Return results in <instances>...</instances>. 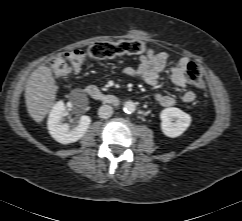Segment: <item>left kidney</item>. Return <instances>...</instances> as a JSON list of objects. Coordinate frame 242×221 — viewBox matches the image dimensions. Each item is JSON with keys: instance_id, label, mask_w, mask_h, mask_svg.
Listing matches in <instances>:
<instances>
[{"instance_id": "1", "label": "left kidney", "mask_w": 242, "mask_h": 221, "mask_svg": "<svg viewBox=\"0 0 242 221\" xmlns=\"http://www.w3.org/2000/svg\"><path fill=\"white\" fill-rule=\"evenodd\" d=\"M160 119L162 132L171 138L183 134L191 123V116L175 107L162 110Z\"/></svg>"}]
</instances>
